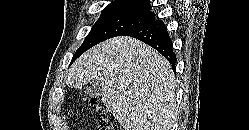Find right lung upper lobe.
Listing matches in <instances>:
<instances>
[{"label":"right lung upper lobe","mask_w":249,"mask_h":130,"mask_svg":"<svg viewBox=\"0 0 249 130\" xmlns=\"http://www.w3.org/2000/svg\"><path fill=\"white\" fill-rule=\"evenodd\" d=\"M109 5L136 7L147 11L151 9L149 0H115Z\"/></svg>","instance_id":"1"}]
</instances>
